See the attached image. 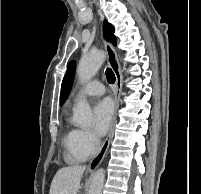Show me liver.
<instances>
[{"label":"liver","mask_w":201,"mask_h":194,"mask_svg":"<svg viewBox=\"0 0 201 194\" xmlns=\"http://www.w3.org/2000/svg\"><path fill=\"white\" fill-rule=\"evenodd\" d=\"M86 166L63 167L55 174L49 194H77Z\"/></svg>","instance_id":"liver-1"}]
</instances>
